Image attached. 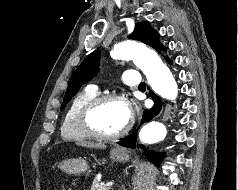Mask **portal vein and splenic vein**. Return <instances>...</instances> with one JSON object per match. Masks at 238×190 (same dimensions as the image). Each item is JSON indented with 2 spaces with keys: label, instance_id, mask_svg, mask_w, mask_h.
Returning a JSON list of instances; mask_svg holds the SVG:
<instances>
[{
  "label": "portal vein and splenic vein",
  "instance_id": "obj_1",
  "mask_svg": "<svg viewBox=\"0 0 238 190\" xmlns=\"http://www.w3.org/2000/svg\"><path fill=\"white\" fill-rule=\"evenodd\" d=\"M113 185V182H108V183H106L104 186L105 187H111Z\"/></svg>",
  "mask_w": 238,
  "mask_h": 190
}]
</instances>
